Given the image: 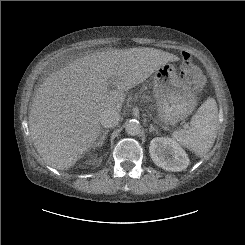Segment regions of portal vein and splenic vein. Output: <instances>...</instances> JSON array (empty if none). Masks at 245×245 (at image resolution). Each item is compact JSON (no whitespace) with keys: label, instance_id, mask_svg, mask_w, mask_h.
Here are the masks:
<instances>
[{"label":"portal vein and splenic vein","instance_id":"1","mask_svg":"<svg viewBox=\"0 0 245 245\" xmlns=\"http://www.w3.org/2000/svg\"><path fill=\"white\" fill-rule=\"evenodd\" d=\"M184 127H185V128H188V125H187V124H185V125H184Z\"/></svg>","mask_w":245,"mask_h":245}]
</instances>
